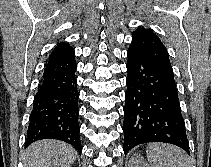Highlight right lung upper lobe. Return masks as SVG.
<instances>
[{
	"label": "right lung upper lobe",
	"instance_id": "obj_1",
	"mask_svg": "<svg viewBox=\"0 0 211 167\" xmlns=\"http://www.w3.org/2000/svg\"><path fill=\"white\" fill-rule=\"evenodd\" d=\"M74 55V49L68 43H59L49 56L48 63L56 62Z\"/></svg>",
	"mask_w": 211,
	"mask_h": 167
}]
</instances>
